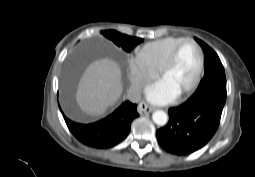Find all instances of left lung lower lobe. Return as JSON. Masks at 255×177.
I'll return each instance as SVG.
<instances>
[{
    "mask_svg": "<svg viewBox=\"0 0 255 177\" xmlns=\"http://www.w3.org/2000/svg\"><path fill=\"white\" fill-rule=\"evenodd\" d=\"M225 101L220 94L208 93L170 108L168 124L157 130L160 146L178 156L205 146L219 126Z\"/></svg>",
    "mask_w": 255,
    "mask_h": 177,
    "instance_id": "1",
    "label": "left lung lower lobe"
}]
</instances>
